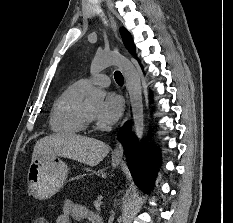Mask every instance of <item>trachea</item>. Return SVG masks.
Returning a JSON list of instances; mask_svg holds the SVG:
<instances>
[{
  "mask_svg": "<svg viewBox=\"0 0 233 223\" xmlns=\"http://www.w3.org/2000/svg\"><path fill=\"white\" fill-rule=\"evenodd\" d=\"M114 78H115V80H116V82H117L118 84H123V83H124V78H123L121 72L116 71V72L114 73Z\"/></svg>",
  "mask_w": 233,
  "mask_h": 223,
  "instance_id": "trachea-1",
  "label": "trachea"
}]
</instances>
